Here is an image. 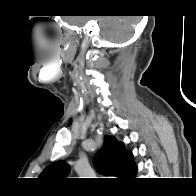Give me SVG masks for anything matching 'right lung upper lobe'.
Returning <instances> with one entry per match:
<instances>
[{
    "label": "right lung upper lobe",
    "instance_id": "1",
    "mask_svg": "<svg viewBox=\"0 0 196 196\" xmlns=\"http://www.w3.org/2000/svg\"><path fill=\"white\" fill-rule=\"evenodd\" d=\"M104 142V147L95 157V165L99 172L121 179L134 175L137 168L133 162V155L124 148V144L108 135L105 136ZM68 172L69 165L59 161L47 166L39 178L56 183L64 179Z\"/></svg>",
    "mask_w": 196,
    "mask_h": 196
}]
</instances>
